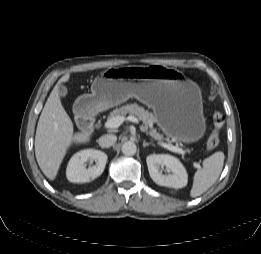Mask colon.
<instances>
[{
  "label": "colon",
  "instance_id": "1",
  "mask_svg": "<svg viewBox=\"0 0 261 254\" xmlns=\"http://www.w3.org/2000/svg\"><path fill=\"white\" fill-rule=\"evenodd\" d=\"M212 121H213V130L207 140V144H206L207 150H213L214 148L217 147L219 143L220 131L225 123V116L220 112H216L213 114Z\"/></svg>",
  "mask_w": 261,
  "mask_h": 254
}]
</instances>
